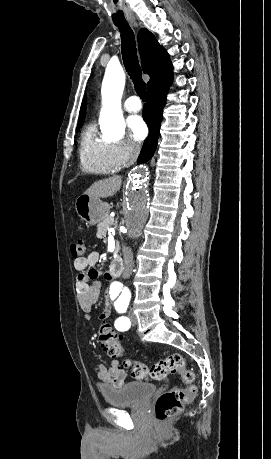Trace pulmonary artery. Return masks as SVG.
<instances>
[{"instance_id": "pulmonary-artery-1", "label": "pulmonary artery", "mask_w": 271, "mask_h": 459, "mask_svg": "<svg viewBox=\"0 0 271 459\" xmlns=\"http://www.w3.org/2000/svg\"><path fill=\"white\" fill-rule=\"evenodd\" d=\"M124 108L130 113H138L142 109V103L137 96L129 97L124 103Z\"/></svg>"}]
</instances>
